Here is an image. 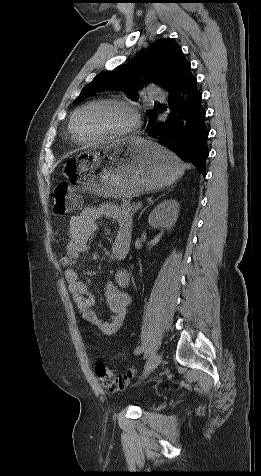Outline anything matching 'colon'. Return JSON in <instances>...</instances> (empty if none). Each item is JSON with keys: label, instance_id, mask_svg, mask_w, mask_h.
<instances>
[{"label": "colon", "instance_id": "1", "mask_svg": "<svg viewBox=\"0 0 261 476\" xmlns=\"http://www.w3.org/2000/svg\"><path fill=\"white\" fill-rule=\"evenodd\" d=\"M79 208V199L72 192L67 182H60L53 191V212L56 215H66ZM95 374L100 383L112 392L124 390L133 375L129 371L127 375L118 376L105 363L98 362L95 366Z\"/></svg>", "mask_w": 261, "mask_h": 476}]
</instances>
